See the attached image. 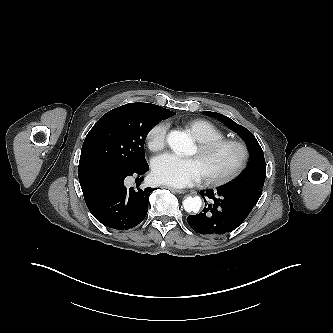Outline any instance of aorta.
Wrapping results in <instances>:
<instances>
[{"label": "aorta", "instance_id": "obj_1", "mask_svg": "<svg viewBox=\"0 0 333 333\" xmlns=\"http://www.w3.org/2000/svg\"><path fill=\"white\" fill-rule=\"evenodd\" d=\"M167 143L178 155H186L193 147L191 138L182 131L172 130L167 136ZM202 200L199 196H188L183 200L184 209L187 212H198L201 208Z\"/></svg>", "mask_w": 333, "mask_h": 333}]
</instances>
